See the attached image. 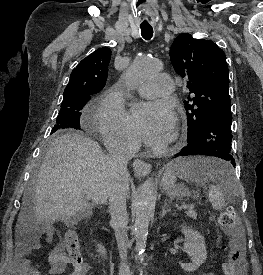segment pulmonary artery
<instances>
[{
    "label": "pulmonary artery",
    "mask_w": 263,
    "mask_h": 275,
    "mask_svg": "<svg viewBox=\"0 0 263 275\" xmlns=\"http://www.w3.org/2000/svg\"><path fill=\"white\" fill-rule=\"evenodd\" d=\"M173 91L174 83L165 74H158L149 78L138 88V94L149 99L170 95Z\"/></svg>",
    "instance_id": "e3ab8cb5"
}]
</instances>
